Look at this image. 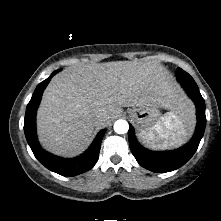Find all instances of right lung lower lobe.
<instances>
[{"mask_svg":"<svg viewBox=\"0 0 221 221\" xmlns=\"http://www.w3.org/2000/svg\"><path fill=\"white\" fill-rule=\"evenodd\" d=\"M54 74H56L55 71L36 87L26 108L24 133L33 154L42 165L62 176H76L91 169L98 161L101 141L106 130L103 129L98 133L94 142L84 154L73 159H63L42 149L36 135V112L42 93Z\"/></svg>","mask_w":221,"mask_h":221,"instance_id":"right-lung-lower-lobe-1","label":"right lung lower lobe"}]
</instances>
